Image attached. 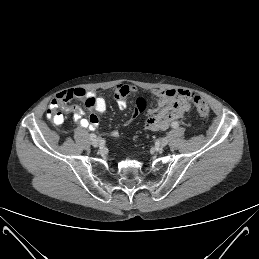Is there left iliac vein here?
I'll return each instance as SVG.
<instances>
[{"mask_svg": "<svg viewBox=\"0 0 259 259\" xmlns=\"http://www.w3.org/2000/svg\"><path fill=\"white\" fill-rule=\"evenodd\" d=\"M169 140L167 137L162 138L160 144L162 147H165L168 144Z\"/></svg>", "mask_w": 259, "mask_h": 259, "instance_id": "left-iliac-vein-1", "label": "left iliac vein"}]
</instances>
